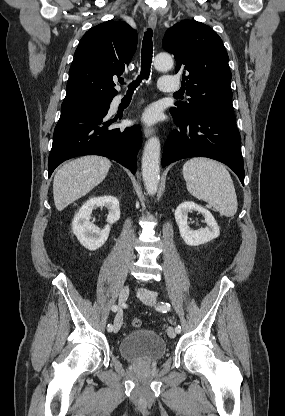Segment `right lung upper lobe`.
Listing matches in <instances>:
<instances>
[{
  "label": "right lung upper lobe",
  "instance_id": "cb5924a9",
  "mask_svg": "<svg viewBox=\"0 0 285 416\" xmlns=\"http://www.w3.org/2000/svg\"><path fill=\"white\" fill-rule=\"evenodd\" d=\"M136 47L137 33L126 22L91 28L75 51L63 103L111 101L118 93L113 78L125 71Z\"/></svg>",
  "mask_w": 285,
  "mask_h": 416
}]
</instances>
